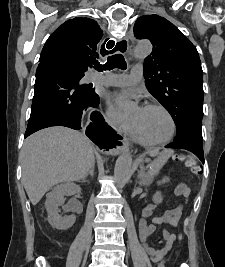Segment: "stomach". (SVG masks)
<instances>
[{
  "mask_svg": "<svg viewBox=\"0 0 225 267\" xmlns=\"http://www.w3.org/2000/svg\"><path fill=\"white\" fill-rule=\"evenodd\" d=\"M161 159H163V160H166L167 158L166 157H160Z\"/></svg>",
  "mask_w": 225,
  "mask_h": 267,
  "instance_id": "obj_1",
  "label": "stomach"
}]
</instances>
